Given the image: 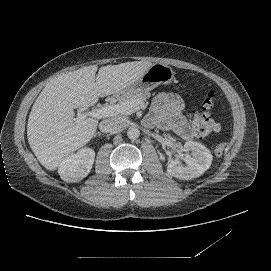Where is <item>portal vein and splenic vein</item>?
Wrapping results in <instances>:
<instances>
[{"instance_id": "18ae733b", "label": "portal vein and splenic vein", "mask_w": 271, "mask_h": 271, "mask_svg": "<svg viewBox=\"0 0 271 271\" xmlns=\"http://www.w3.org/2000/svg\"><path fill=\"white\" fill-rule=\"evenodd\" d=\"M134 103L135 104L131 102H126L122 104L108 105L92 112V116L97 118H104L114 116L116 114H131L138 110L139 108H141L142 105H144L143 103L140 102Z\"/></svg>"}]
</instances>
